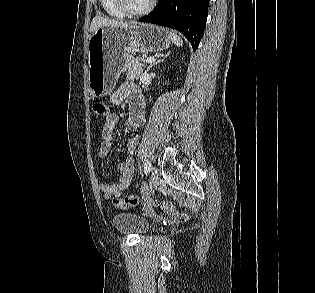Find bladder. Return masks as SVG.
<instances>
[{
    "label": "bladder",
    "mask_w": 315,
    "mask_h": 293,
    "mask_svg": "<svg viewBox=\"0 0 315 293\" xmlns=\"http://www.w3.org/2000/svg\"><path fill=\"white\" fill-rule=\"evenodd\" d=\"M114 227L122 234L143 235L149 232L151 225L143 217L128 212L117 213L112 217Z\"/></svg>",
    "instance_id": "1"
}]
</instances>
